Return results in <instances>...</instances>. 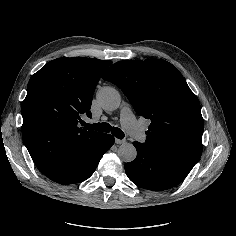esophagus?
<instances>
[{
    "label": "esophagus",
    "mask_w": 236,
    "mask_h": 236,
    "mask_svg": "<svg viewBox=\"0 0 236 236\" xmlns=\"http://www.w3.org/2000/svg\"><path fill=\"white\" fill-rule=\"evenodd\" d=\"M125 141L124 140H122V139H117V138H115V143L116 144H122V143H124Z\"/></svg>",
    "instance_id": "1"
}]
</instances>
